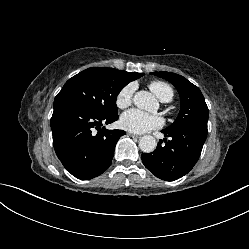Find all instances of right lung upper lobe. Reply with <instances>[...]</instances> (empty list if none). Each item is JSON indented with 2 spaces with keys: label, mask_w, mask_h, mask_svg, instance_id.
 <instances>
[{
  "label": "right lung upper lobe",
  "mask_w": 249,
  "mask_h": 249,
  "mask_svg": "<svg viewBox=\"0 0 249 249\" xmlns=\"http://www.w3.org/2000/svg\"><path fill=\"white\" fill-rule=\"evenodd\" d=\"M121 74L128 79L129 82L138 79L139 77L143 76V73H134V72H126V71H121Z\"/></svg>",
  "instance_id": "right-lung-upper-lobe-1"
}]
</instances>
